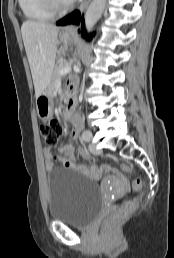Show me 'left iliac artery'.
I'll use <instances>...</instances> for the list:
<instances>
[{
    "label": "left iliac artery",
    "instance_id": "obj_1",
    "mask_svg": "<svg viewBox=\"0 0 174 258\" xmlns=\"http://www.w3.org/2000/svg\"><path fill=\"white\" fill-rule=\"evenodd\" d=\"M92 138V134L90 131L86 130L82 133V139L86 142L90 141Z\"/></svg>",
    "mask_w": 174,
    "mask_h": 258
}]
</instances>
